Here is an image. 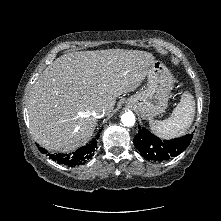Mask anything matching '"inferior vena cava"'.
I'll return each instance as SVG.
<instances>
[{"label":"inferior vena cava","mask_w":221,"mask_h":221,"mask_svg":"<svg viewBox=\"0 0 221 221\" xmlns=\"http://www.w3.org/2000/svg\"><path fill=\"white\" fill-rule=\"evenodd\" d=\"M106 113L103 107H97L93 110L92 114L95 118H102Z\"/></svg>","instance_id":"602c4592"}]
</instances>
